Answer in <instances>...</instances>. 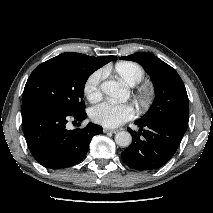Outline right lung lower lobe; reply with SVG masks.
<instances>
[{
    "mask_svg": "<svg viewBox=\"0 0 213 213\" xmlns=\"http://www.w3.org/2000/svg\"><path fill=\"white\" fill-rule=\"evenodd\" d=\"M86 113L72 115L37 98L22 100V123L26 142L33 157L41 165L67 168L79 163L86 155L89 143L102 127L89 123L83 129H66L67 119L82 122Z\"/></svg>",
    "mask_w": 213,
    "mask_h": 213,
    "instance_id": "obj_1",
    "label": "right lung lower lobe"
}]
</instances>
